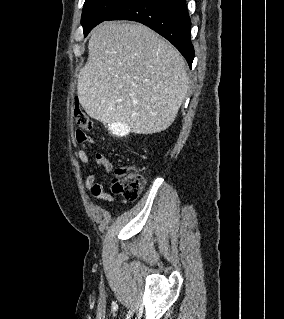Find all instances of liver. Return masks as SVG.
<instances>
[{"instance_id":"liver-1","label":"liver","mask_w":284,"mask_h":319,"mask_svg":"<svg viewBox=\"0 0 284 319\" xmlns=\"http://www.w3.org/2000/svg\"><path fill=\"white\" fill-rule=\"evenodd\" d=\"M181 54L142 24L104 22L91 33L77 84L85 112L137 134L166 130L187 94Z\"/></svg>"}]
</instances>
